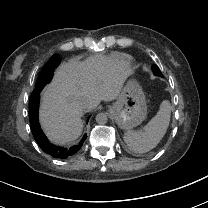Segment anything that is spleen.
<instances>
[{
    "mask_svg": "<svg viewBox=\"0 0 208 208\" xmlns=\"http://www.w3.org/2000/svg\"><path fill=\"white\" fill-rule=\"evenodd\" d=\"M170 111V103L163 101L158 114L141 130L125 133L123 139L129 149L137 153H145L156 147L169 125Z\"/></svg>",
    "mask_w": 208,
    "mask_h": 208,
    "instance_id": "3e777b00",
    "label": "spleen"
}]
</instances>
